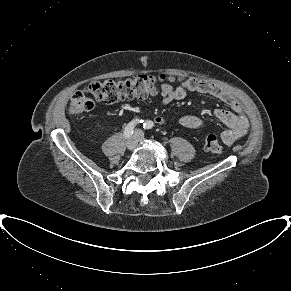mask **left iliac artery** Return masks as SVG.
I'll return each mask as SVG.
<instances>
[{
    "label": "left iliac artery",
    "instance_id": "1",
    "mask_svg": "<svg viewBox=\"0 0 291 291\" xmlns=\"http://www.w3.org/2000/svg\"><path fill=\"white\" fill-rule=\"evenodd\" d=\"M154 126V124H153V122L152 121H150V120H148V121H146L144 124H143V128L144 129H151L152 127Z\"/></svg>",
    "mask_w": 291,
    "mask_h": 291
}]
</instances>
